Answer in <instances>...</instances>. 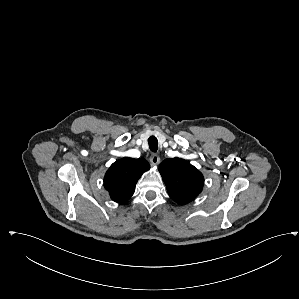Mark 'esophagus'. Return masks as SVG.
<instances>
[{"instance_id": "34e87169", "label": "esophagus", "mask_w": 299, "mask_h": 299, "mask_svg": "<svg viewBox=\"0 0 299 299\" xmlns=\"http://www.w3.org/2000/svg\"><path fill=\"white\" fill-rule=\"evenodd\" d=\"M150 162L152 165H158L159 162H160V157L156 154H153L151 157H150Z\"/></svg>"}]
</instances>
